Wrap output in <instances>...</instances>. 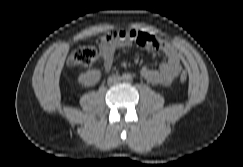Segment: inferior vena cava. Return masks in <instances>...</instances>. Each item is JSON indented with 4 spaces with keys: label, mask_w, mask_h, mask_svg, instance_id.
Returning <instances> with one entry per match:
<instances>
[{
    "label": "inferior vena cava",
    "mask_w": 243,
    "mask_h": 167,
    "mask_svg": "<svg viewBox=\"0 0 243 167\" xmlns=\"http://www.w3.org/2000/svg\"><path fill=\"white\" fill-rule=\"evenodd\" d=\"M120 81H121V77L120 76L113 75V76L108 78V84H116V83H118Z\"/></svg>",
    "instance_id": "obj_1"
}]
</instances>
